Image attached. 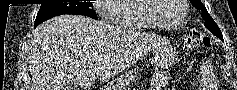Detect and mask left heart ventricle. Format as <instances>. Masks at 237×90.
Segmentation results:
<instances>
[{"label":"left heart ventricle","instance_id":"1","mask_svg":"<svg viewBox=\"0 0 237 90\" xmlns=\"http://www.w3.org/2000/svg\"><path fill=\"white\" fill-rule=\"evenodd\" d=\"M161 1L156 13H152L154 18L161 24L170 26L176 24L181 17V9L177 0H153Z\"/></svg>","mask_w":237,"mask_h":90}]
</instances>
